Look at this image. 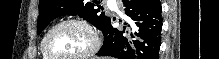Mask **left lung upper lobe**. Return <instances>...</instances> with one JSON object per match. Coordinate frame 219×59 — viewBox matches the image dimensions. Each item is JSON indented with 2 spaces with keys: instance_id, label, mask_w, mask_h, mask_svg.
Segmentation results:
<instances>
[{
  "instance_id": "left-lung-upper-lobe-1",
  "label": "left lung upper lobe",
  "mask_w": 219,
  "mask_h": 59,
  "mask_svg": "<svg viewBox=\"0 0 219 59\" xmlns=\"http://www.w3.org/2000/svg\"><path fill=\"white\" fill-rule=\"evenodd\" d=\"M93 2L95 4L89 0H40L37 34H40L53 19L62 15H79L102 30L110 18L104 12L100 13V10H103L99 5L100 1Z\"/></svg>"
}]
</instances>
